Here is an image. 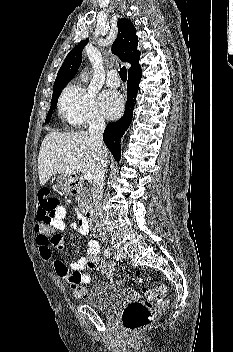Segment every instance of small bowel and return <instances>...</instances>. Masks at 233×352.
I'll return each mask as SVG.
<instances>
[{"label": "small bowel", "mask_w": 233, "mask_h": 352, "mask_svg": "<svg viewBox=\"0 0 233 352\" xmlns=\"http://www.w3.org/2000/svg\"><path fill=\"white\" fill-rule=\"evenodd\" d=\"M68 208V206L59 203L51 188L42 187L38 191V221L48 220L54 230L63 231L66 228L65 217ZM73 209L77 211L76 208ZM71 226L81 235H86L89 232V227L85 222V218L82 216H79V220L72 223ZM63 244V238L59 242H51L43 241L37 237V245L41 257L46 261L52 260L56 274L60 278L66 280L71 286V276L74 274H80L83 283H88L91 279L90 275L82 273V270L86 267L84 256L70 265H67L62 258H55L53 256L55 251L60 250L63 247ZM87 247L86 254L99 253V244L95 240H89L87 242Z\"/></svg>", "instance_id": "obj_1"}]
</instances>
